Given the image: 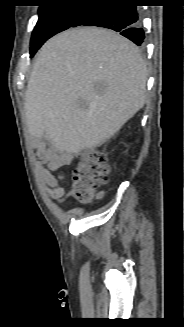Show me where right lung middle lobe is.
Segmentation results:
<instances>
[{
    "label": "right lung middle lobe",
    "mask_w": 184,
    "mask_h": 327,
    "mask_svg": "<svg viewBox=\"0 0 184 327\" xmlns=\"http://www.w3.org/2000/svg\"><path fill=\"white\" fill-rule=\"evenodd\" d=\"M77 0H56L39 8V19L31 37L30 57L55 34L72 27L90 7L76 4Z\"/></svg>",
    "instance_id": "obj_1"
}]
</instances>
